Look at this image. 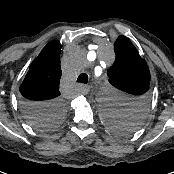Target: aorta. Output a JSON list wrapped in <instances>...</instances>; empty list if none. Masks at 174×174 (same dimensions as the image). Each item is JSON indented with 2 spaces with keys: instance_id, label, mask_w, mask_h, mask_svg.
Segmentation results:
<instances>
[{
  "instance_id": "762f6f07",
  "label": "aorta",
  "mask_w": 174,
  "mask_h": 174,
  "mask_svg": "<svg viewBox=\"0 0 174 174\" xmlns=\"http://www.w3.org/2000/svg\"><path fill=\"white\" fill-rule=\"evenodd\" d=\"M95 95L104 116H120L122 114L123 111L117 104L114 91L107 84L99 83L95 89ZM103 121L105 122L106 118H103Z\"/></svg>"
}]
</instances>
